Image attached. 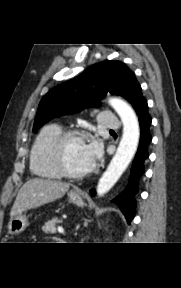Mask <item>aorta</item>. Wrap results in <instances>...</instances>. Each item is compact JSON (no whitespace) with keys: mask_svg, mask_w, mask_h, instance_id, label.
Returning a JSON list of instances; mask_svg holds the SVG:
<instances>
[{"mask_svg":"<svg viewBox=\"0 0 181 288\" xmlns=\"http://www.w3.org/2000/svg\"><path fill=\"white\" fill-rule=\"evenodd\" d=\"M109 104L123 123V134L115 155L98 182L99 196L107 193L124 173L136 153L140 137L138 119L130 105L117 98L110 99Z\"/></svg>","mask_w":181,"mask_h":288,"instance_id":"762f6f07","label":"aorta"}]
</instances>
